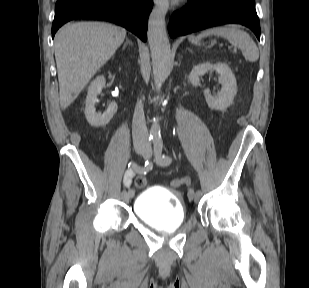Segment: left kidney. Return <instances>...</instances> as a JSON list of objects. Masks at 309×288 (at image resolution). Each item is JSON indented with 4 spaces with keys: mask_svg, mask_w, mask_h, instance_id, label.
Listing matches in <instances>:
<instances>
[{
    "mask_svg": "<svg viewBox=\"0 0 309 288\" xmlns=\"http://www.w3.org/2000/svg\"><path fill=\"white\" fill-rule=\"evenodd\" d=\"M208 71H216L220 75L219 83L222 88L217 96H212L209 89H205L204 96L206 102L211 109L224 111L232 104L237 93L236 78L226 63L218 62L211 64L204 62L193 67L188 79L193 86H200V77Z\"/></svg>",
    "mask_w": 309,
    "mask_h": 288,
    "instance_id": "obj_1",
    "label": "left kidney"
}]
</instances>
